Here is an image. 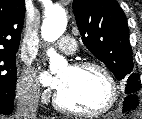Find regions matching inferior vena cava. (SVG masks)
<instances>
[{"instance_id":"1","label":"inferior vena cava","mask_w":142,"mask_h":119,"mask_svg":"<svg viewBox=\"0 0 142 119\" xmlns=\"http://www.w3.org/2000/svg\"><path fill=\"white\" fill-rule=\"evenodd\" d=\"M39 91L34 85L21 89L17 94L15 119H36Z\"/></svg>"}]
</instances>
